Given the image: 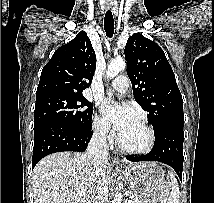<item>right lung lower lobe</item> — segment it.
<instances>
[{
    "instance_id": "98d812e1",
    "label": "right lung lower lobe",
    "mask_w": 214,
    "mask_h": 203,
    "mask_svg": "<svg viewBox=\"0 0 214 203\" xmlns=\"http://www.w3.org/2000/svg\"><path fill=\"white\" fill-rule=\"evenodd\" d=\"M91 129L61 123H48L34 129L32 169L45 156L62 151L86 150L92 137Z\"/></svg>"
}]
</instances>
